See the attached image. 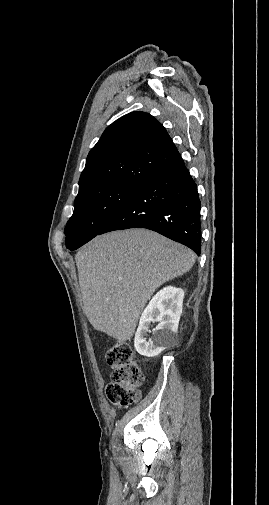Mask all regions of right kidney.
<instances>
[{
  "label": "right kidney",
  "mask_w": 269,
  "mask_h": 505,
  "mask_svg": "<svg viewBox=\"0 0 269 505\" xmlns=\"http://www.w3.org/2000/svg\"><path fill=\"white\" fill-rule=\"evenodd\" d=\"M183 299L184 291L173 286L163 288L152 298L141 315L135 334L134 346L140 355L157 356L175 341ZM155 322L158 325L153 330V341L147 342L149 326Z\"/></svg>",
  "instance_id": "right-kidney-1"
}]
</instances>
